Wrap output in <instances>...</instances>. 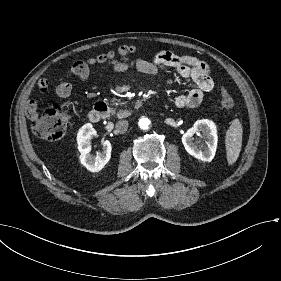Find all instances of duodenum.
I'll return each instance as SVG.
<instances>
[{
  "instance_id": "duodenum-1",
  "label": "duodenum",
  "mask_w": 281,
  "mask_h": 281,
  "mask_svg": "<svg viewBox=\"0 0 281 281\" xmlns=\"http://www.w3.org/2000/svg\"><path fill=\"white\" fill-rule=\"evenodd\" d=\"M131 112V109L121 110L116 113L117 119L126 118ZM112 115L110 107L104 102H95L93 108L90 110L88 119L92 123H100L101 121Z\"/></svg>"
}]
</instances>
